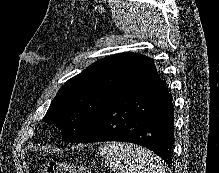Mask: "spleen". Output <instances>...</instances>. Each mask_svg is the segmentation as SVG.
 <instances>
[{
  "instance_id": "obj_1",
  "label": "spleen",
  "mask_w": 219,
  "mask_h": 173,
  "mask_svg": "<svg viewBox=\"0 0 219 173\" xmlns=\"http://www.w3.org/2000/svg\"><path fill=\"white\" fill-rule=\"evenodd\" d=\"M100 156L110 168L120 173H166L159 158L132 144L108 143L100 147Z\"/></svg>"
}]
</instances>
